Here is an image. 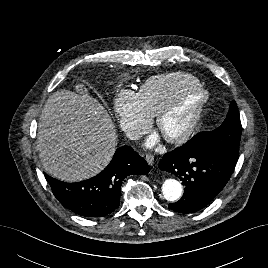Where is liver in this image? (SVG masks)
Masks as SVG:
<instances>
[{
  "instance_id": "obj_1",
  "label": "liver",
  "mask_w": 268,
  "mask_h": 268,
  "mask_svg": "<svg viewBox=\"0 0 268 268\" xmlns=\"http://www.w3.org/2000/svg\"><path fill=\"white\" fill-rule=\"evenodd\" d=\"M60 90L47 99L38 123L37 148L45 171L66 181H81L111 161L117 134L107 110L87 94Z\"/></svg>"
}]
</instances>
